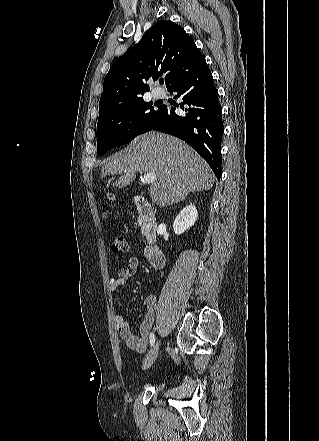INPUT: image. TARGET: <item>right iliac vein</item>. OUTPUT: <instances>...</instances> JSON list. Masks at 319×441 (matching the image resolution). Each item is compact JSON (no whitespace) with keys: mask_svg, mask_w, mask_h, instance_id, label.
<instances>
[{"mask_svg":"<svg viewBox=\"0 0 319 441\" xmlns=\"http://www.w3.org/2000/svg\"><path fill=\"white\" fill-rule=\"evenodd\" d=\"M159 352V342H157L152 349L146 355V358L143 363V369H148L156 360Z\"/></svg>","mask_w":319,"mask_h":441,"instance_id":"obj_1","label":"right iliac vein"}]
</instances>
